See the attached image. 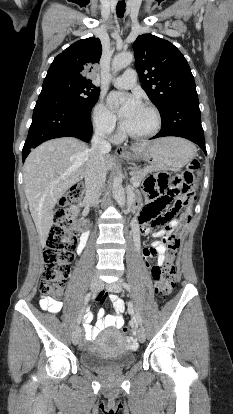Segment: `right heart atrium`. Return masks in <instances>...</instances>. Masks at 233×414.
Returning <instances> with one entry per match:
<instances>
[{
    "mask_svg": "<svg viewBox=\"0 0 233 414\" xmlns=\"http://www.w3.org/2000/svg\"><path fill=\"white\" fill-rule=\"evenodd\" d=\"M91 122L95 131L102 136H112L116 129V117L99 100L91 111Z\"/></svg>",
    "mask_w": 233,
    "mask_h": 414,
    "instance_id": "right-heart-atrium-1",
    "label": "right heart atrium"
}]
</instances>
